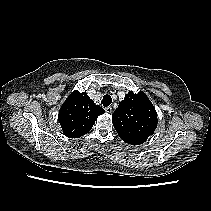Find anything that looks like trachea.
<instances>
[{"mask_svg":"<svg viewBox=\"0 0 211 211\" xmlns=\"http://www.w3.org/2000/svg\"><path fill=\"white\" fill-rule=\"evenodd\" d=\"M112 103V98L110 95H104L103 96V99H102V104L103 106L107 107L109 106L110 104Z\"/></svg>","mask_w":211,"mask_h":211,"instance_id":"obj_1","label":"trachea"}]
</instances>
